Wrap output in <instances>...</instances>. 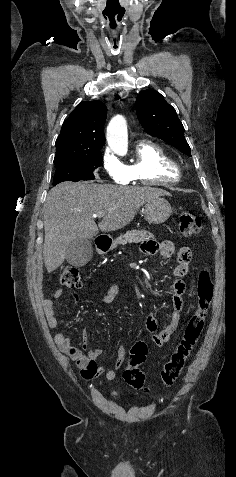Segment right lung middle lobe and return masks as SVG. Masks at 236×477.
<instances>
[{
	"label": "right lung middle lobe",
	"instance_id": "obj_1",
	"mask_svg": "<svg viewBox=\"0 0 236 477\" xmlns=\"http://www.w3.org/2000/svg\"><path fill=\"white\" fill-rule=\"evenodd\" d=\"M101 151L86 152L75 157L54 161L56 166L53 185L63 181L93 180L94 170L102 164Z\"/></svg>",
	"mask_w": 236,
	"mask_h": 477
}]
</instances>
